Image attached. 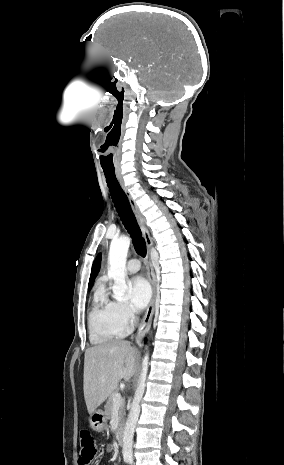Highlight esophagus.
<instances>
[{"mask_svg":"<svg viewBox=\"0 0 284 465\" xmlns=\"http://www.w3.org/2000/svg\"><path fill=\"white\" fill-rule=\"evenodd\" d=\"M115 173H116V177H117V180H118L120 186L122 187L124 193L126 194L128 200H129V203H130V205L132 207V210H133V213H134V215L136 217V220H137V222H138V224H139V226H140V228L142 230L143 237H144L146 245H147L146 268H147V277H148L149 282L151 283V287H152V298H151V301H150V303H149V305L147 307V310L145 312L143 320L141 321V323H140V325L138 327L136 341L139 342L141 340V338L145 335V333L149 330V328L151 326V323H152L154 310H155L156 278H155V275H154L152 262H151V257H150V251H151V247H152L153 242H152V238L150 236V232H149V230L147 229V227L145 225L143 216L141 215V212L139 210V207H138L136 201L134 200V198L132 197V195L130 194L128 189L125 187V184H124V181H123V178H122V175H121V171L116 170Z\"/></svg>","mask_w":284,"mask_h":465,"instance_id":"esophagus-1","label":"esophagus"}]
</instances>
